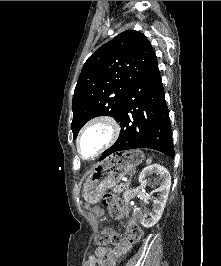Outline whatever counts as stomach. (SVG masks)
I'll return each mask as SVG.
<instances>
[{
	"instance_id": "1",
	"label": "stomach",
	"mask_w": 221,
	"mask_h": 266,
	"mask_svg": "<svg viewBox=\"0 0 221 266\" xmlns=\"http://www.w3.org/2000/svg\"><path fill=\"white\" fill-rule=\"evenodd\" d=\"M144 155L139 150L118 152L97 163L83 185L86 202H99L105 191L115 186L122 177L139 165Z\"/></svg>"
}]
</instances>
